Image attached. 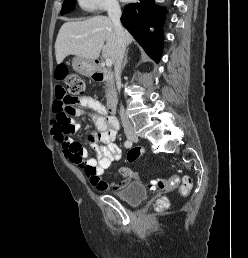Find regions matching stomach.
<instances>
[{
	"label": "stomach",
	"instance_id": "obj_1",
	"mask_svg": "<svg viewBox=\"0 0 248 258\" xmlns=\"http://www.w3.org/2000/svg\"><path fill=\"white\" fill-rule=\"evenodd\" d=\"M72 66L76 72L84 76L91 77L95 73L94 61L82 57L76 56L75 58H73Z\"/></svg>",
	"mask_w": 248,
	"mask_h": 258
}]
</instances>
